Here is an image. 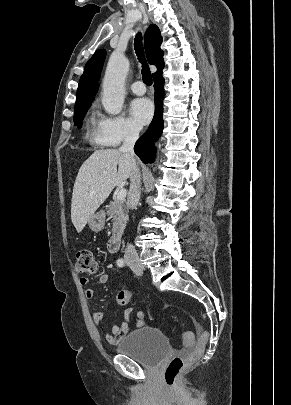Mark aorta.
<instances>
[{"instance_id":"aorta-1","label":"aorta","mask_w":291,"mask_h":405,"mask_svg":"<svg viewBox=\"0 0 291 405\" xmlns=\"http://www.w3.org/2000/svg\"><path fill=\"white\" fill-rule=\"evenodd\" d=\"M128 70V59L113 53L109 59L102 86V104L106 112L111 115H117L122 110L125 97L124 83Z\"/></svg>"}]
</instances>
